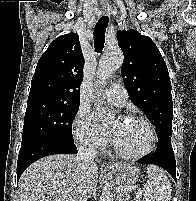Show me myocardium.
Listing matches in <instances>:
<instances>
[{
    "label": "myocardium",
    "instance_id": "myocardium-1",
    "mask_svg": "<svg viewBox=\"0 0 196 201\" xmlns=\"http://www.w3.org/2000/svg\"><path fill=\"white\" fill-rule=\"evenodd\" d=\"M131 120L138 121L147 127L149 131V143L147 147L143 151L138 153H127L121 150L114 141L112 142V146L115 153L119 157L127 160H139L146 157L154 150L157 142V135L153 124L147 118L143 116H132Z\"/></svg>",
    "mask_w": 196,
    "mask_h": 201
}]
</instances>
